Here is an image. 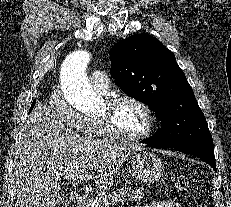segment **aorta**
I'll use <instances>...</instances> for the list:
<instances>
[{
    "mask_svg": "<svg viewBox=\"0 0 231 207\" xmlns=\"http://www.w3.org/2000/svg\"><path fill=\"white\" fill-rule=\"evenodd\" d=\"M90 61L87 50H76L70 53L62 63L60 71L61 89L66 101L82 112L98 108L102 100L93 91L86 69Z\"/></svg>",
    "mask_w": 231,
    "mask_h": 207,
    "instance_id": "obj_1",
    "label": "aorta"
}]
</instances>
